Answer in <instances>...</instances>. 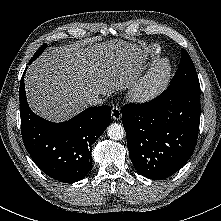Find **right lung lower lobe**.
Here are the masks:
<instances>
[{"label": "right lung lower lobe", "instance_id": "right-lung-lower-lobe-1", "mask_svg": "<svg viewBox=\"0 0 221 221\" xmlns=\"http://www.w3.org/2000/svg\"><path fill=\"white\" fill-rule=\"evenodd\" d=\"M23 76L19 88L22 138L34 163L64 183L83 179L92 166L91 145L111 122V108L90 107L69 121L51 123L29 108Z\"/></svg>", "mask_w": 221, "mask_h": 221}]
</instances>
